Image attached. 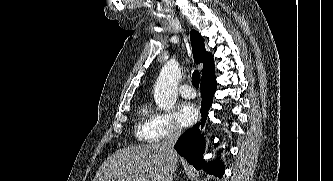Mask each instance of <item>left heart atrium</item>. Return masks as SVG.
<instances>
[{
	"label": "left heart atrium",
	"mask_w": 333,
	"mask_h": 181,
	"mask_svg": "<svg viewBox=\"0 0 333 181\" xmlns=\"http://www.w3.org/2000/svg\"><path fill=\"white\" fill-rule=\"evenodd\" d=\"M197 116L198 110L191 102L182 103L176 112L177 121L182 126L192 125L196 121Z\"/></svg>",
	"instance_id": "1"
}]
</instances>
